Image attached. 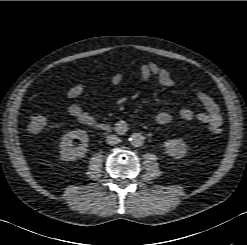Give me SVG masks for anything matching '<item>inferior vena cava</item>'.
<instances>
[{
    "instance_id": "obj_1",
    "label": "inferior vena cava",
    "mask_w": 247,
    "mask_h": 245,
    "mask_svg": "<svg viewBox=\"0 0 247 245\" xmlns=\"http://www.w3.org/2000/svg\"><path fill=\"white\" fill-rule=\"evenodd\" d=\"M106 142L109 145H116L121 142V139L117 135H109L107 136Z\"/></svg>"
}]
</instances>
